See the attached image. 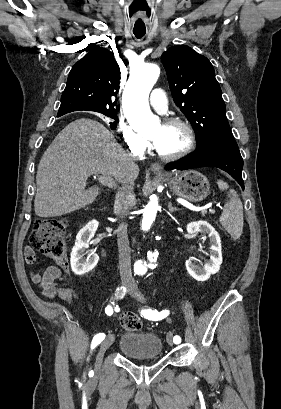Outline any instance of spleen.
Wrapping results in <instances>:
<instances>
[{
    "mask_svg": "<svg viewBox=\"0 0 281 409\" xmlns=\"http://www.w3.org/2000/svg\"><path fill=\"white\" fill-rule=\"evenodd\" d=\"M217 184L221 190L229 188V184L224 180H217ZM220 223L227 233L231 235L232 239L236 241L243 233V205L238 198V194L234 188H230L228 198L225 202L223 213L220 217Z\"/></svg>",
    "mask_w": 281,
    "mask_h": 409,
    "instance_id": "3e777b00",
    "label": "spleen"
}]
</instances>
